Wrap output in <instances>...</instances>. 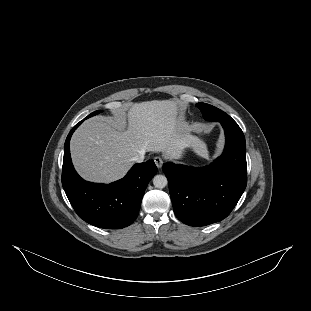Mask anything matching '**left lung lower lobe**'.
<instances>
[{
    "label": "left lung lower lobe",
    "mask_w": 311,
    "mask_h": 311,
    "mask_svg": "<svg viewBox=\"0 0 311 311\" xmlns=\"http://www.w3.org/2000/svg\"><path fill=\"white\" fill-rule=\"evenodd\" d=\"M225 131L223 154L202 168L163 164L176 217L190 226L223 220L233 210L247 184L246 142L231 118L220 121Z\"/></svg>",
    "instance_id": "left-lung-lower-lobe-1"
}]
</instances>
